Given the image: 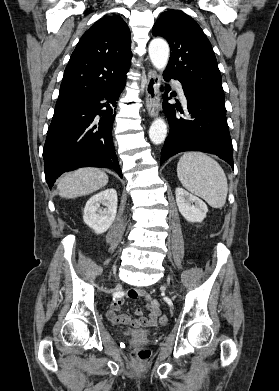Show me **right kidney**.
Wrapping results in <instances>:
<instances>
[{"instance_id": "right-kidney-1", "label": "right kidney", "mask_w": 279, "mask_h": 391, "mask_svg": "<svg viewBox=\"0 0 279 391\" xmlns=\"http://www.w3.org/2000/svg\"><path fill=\"white\" fill-rule=\"evenodd\" d=\"M117 192L113 188L93 195L84 208L83 220L95 233L106 232L115 220L117 213ZM103 205L105 208L100 207Z\"/></svg>"}]
</instances>
